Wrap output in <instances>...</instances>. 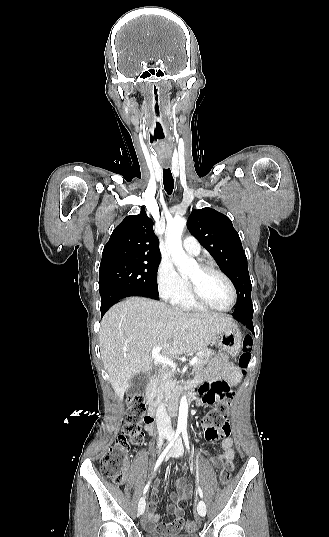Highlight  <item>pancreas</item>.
<instances>
[{
  "label": "pancreas",
  "instance_id": "obj_1",
  "mask_svg": "<svg viewBox=\"0 0 329 537\" xmlns=\"http://www.w3.org/2000/svg\"><path fill=\"white\" fill-rule=\"evenodd\" d=\"M213 355L214 351L210 349H204L201 353H198V362L195 364L193 371L202 369ZM178 388L179 386L176 379H172L170 378V375H167L165 379L159 381L155 393L169 400L176 395Z\"/></svg>",
  "mask_w": 329,
  "mask_h": 537
}]
</instances>
